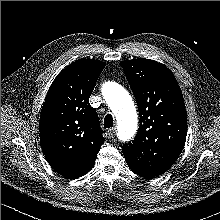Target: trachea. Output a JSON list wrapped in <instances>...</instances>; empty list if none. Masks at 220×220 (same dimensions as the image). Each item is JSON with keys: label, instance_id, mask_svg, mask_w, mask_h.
Returning a JSON list of instances; mask_svg holds the SVG:
<instances>
[{"label": "trachea", "instance_id": "1", "mask_svg": "<svg viewBox=\"0 0 220 220\" xmlns=\"http://www.w3.org/2000/svg\"><path fill=\"white\" fill-rule=\"evenodd\" d=\"M113 116L111 114H107L104 119V128H110L113 126Z\"/></svg>", "mask_w": 220, "mask_h": 220}]
</instances>
